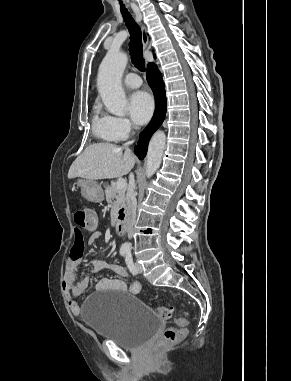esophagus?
<instances>
[{
  "label": "esophagus",
  "instance_id": "obj_1",
  "mask_svg": "<svg viewBox=\"0 0 291 381\" xmlns=\"http://www.w3.org/2000/svg\"><path fill=\"white\" fill-rule=\"evenodd\" d=\"M141 31H142V43H143V48L144 50L148 47V44H149V39H148V35L146 33V28L144 25H142L141 27Z\"/></svg>",
  "mask_w": 291,
  "mask_h": 381
}]
</instances>
